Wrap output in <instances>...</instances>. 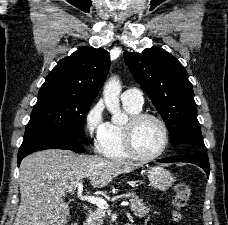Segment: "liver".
Wrapping results in <instances>:
<instances>
[{"label":"liver","instance_id":"6515ba94","mask_svg":"<svg viewBox=\"0 0 228 225\" xmlns=\"http://www.w3.org/2000/svg\"><path fill=\"white\" fill-rule=\"evenodd\" d=\"M139 163L76 155L72 151L47 149L28 155L19 169L21 201L14 225H67L70 209L62 197L74 193L83 179L94 189L135 171Z\"/></svg>","mask_w":228,"mask_h":225}]
</instances>
